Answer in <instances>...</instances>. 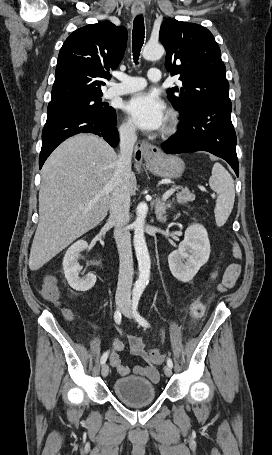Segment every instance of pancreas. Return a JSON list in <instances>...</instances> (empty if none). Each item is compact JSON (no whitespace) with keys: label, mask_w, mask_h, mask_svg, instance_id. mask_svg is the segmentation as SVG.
Masks as SVG:
<instances>
[{"label":"pancreas","mask_w":272,"mask_h":455,"mask_svg":"<svg viewBox=\"0 0 272 455\" xmlns=\"http://www.w3.org/2000/svg\"><path fill=\"white\" fill-rule=\"evenodd\" d=\"M176 200L180 204H187L195 200V195L187 188H182L179 193L176 194Z\"/></svg>","instance_id":"cf45deb5"}]
</instances>
